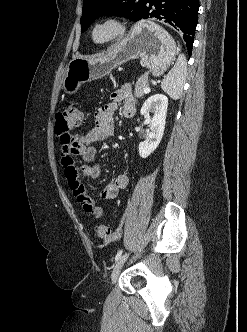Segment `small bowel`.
Here are the masks:
<instances>
[{
  "label": "small bowel",
  "mask_w": 247,
  "mask_h": 332,
  "mask_svg": "<svg viewBox=\"0 0 247 332\" xmlns=\"http://www.w3.org/2000/svg\"><path fill=\"white\" fill-rule=\"evenodd\" d=\"M121 107L124 117L130 118L136 112V103L129 86L124 85L111 94V102L100 106L94 114L95 127L86 136L75 139L74 145L62 144L60 157L61 165L69 189L80 203L83 212L94 219L102 215V209L95 205V198L83 183L84 178H91L96 181L100 176L101 166L95 163L96 148L95 142L104 141L114 135L113 114L118 107ZM82 159V164L78 165L74 157ZM128 184V176L119 174L115 179L106 185L99 197L101 199H114L119 192ZM117 233L112 239L117 237Z\"/></svg>",
  "instance_id": "obj_1"
}]
</instances>
